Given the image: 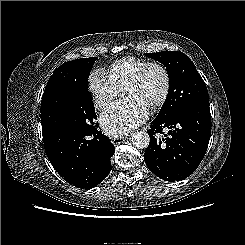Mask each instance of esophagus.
<instances>
[{
    "mask_svg": "<svg viewBox=\"0 0 245 245\" xmlns=\"http://www.w3.org/2000/svg\"><path fill=\"white\" fill-rule=\"evenodd\" d=\"M124 139H125V137H122V136H116V137H114V139H113V143H114L115 145H118V144L122 143Z\"/></svg>",
    "mask_w": 245,
    "mask_h": 245,
    "instance_id": "obj_1",
    "label": "esophagus"
}]
</instances>
